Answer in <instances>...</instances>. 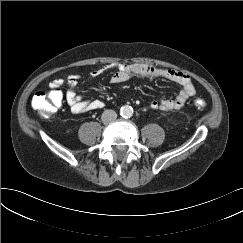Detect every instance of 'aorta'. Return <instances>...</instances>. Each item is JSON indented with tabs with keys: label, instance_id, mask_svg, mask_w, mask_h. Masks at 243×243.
I'll list each match as a JSON object with an SVG mask.
<instances>
[{
	"label": "aorta",
	"instance_id": "1",
	"mask_svg": "<svg viewBox=\"0 0 243 243\" xmlns=\"http://www.w3.org/2000/svg\"><path fill=\"white\" fill-rule=\"evenodd\" d=\"M120 115L123 118H130L133 115V108L128 105H124L120 108Z\"/></svg>",
	"mask_w": 243,
	"mask_h": 243
}]
</instances>
